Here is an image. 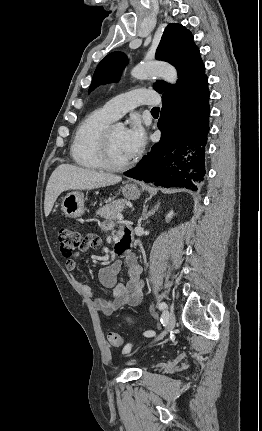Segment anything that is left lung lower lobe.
Segmentation results:
<instances>
[{
    "label": "left lung lower lobe",
    "instance_id": "left-lung-lower-lobe-1",
    "mask_svg": "<svg viewBox=\"0 0 262 431\" xmlns=\"http://www.w3.org/2000/svg\"><path fill=\"white\" fill-rule=\"evenodd\" d=\"M209 96L207 77L185 91L163 95L158 121L161 140L124 174L156 186L196 191L205 174Z\"/></svg>",
    "mask_w": 262,
    "mask_h": 431
}]
</instances>
